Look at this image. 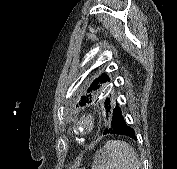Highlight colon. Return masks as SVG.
Listing matches in <instances>:
<instances>
[{"mask_svg": "<svg viewBox=\"0 0 177 169\" xmlns=\"http://www.w3.org/2000/svg\"><path fill=\"white\" fill-rule=\"evenodd\" d=\"M76 169H85V168L77 167Z\"/></svg>", "mask_w": 177, "mask_h": 169, "instance_id": "5ec220e1", "label": "colon"}]
</instances>
